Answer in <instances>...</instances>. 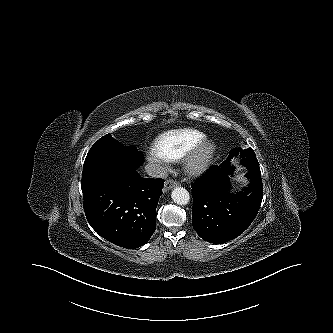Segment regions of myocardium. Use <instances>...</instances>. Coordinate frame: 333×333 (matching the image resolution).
<instances>
[{"instance_id":"1","label":"myocardium","mask_w":333,"mask_h":333,"mask_svg":"<svg viewBox=\"0 0 333 333\" xmlns=\"http://www.w3.org/2000/svg\"><path fill=\"white\" fill-rule=\"evenodd\" d=\"M216 153V145L211 140H203L191 152L185 160V169L190 175L203 173L212 163Z\"/></svg>"}]
</instances>
